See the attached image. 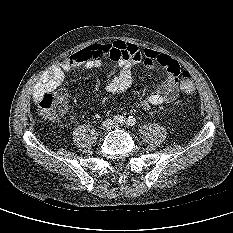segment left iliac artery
Listing matches in <instances>:
<instances>
[{
  "label": "left iliac artery",
  "mask_w": 233,
  "mask_h": 233,
  "mask_svg": "<svg viewBox=\"0 0 233 233\" xmlns=\"http://www.w3.org/2000/svg\"><path fill=\"white\" fill-rule=\"evenodd\" d=\"M126 123H127L128 126H134L136 124L135 117L129 116Z\"/></svg>",
  "instance_id": "left-iliac-artery-1"
}]
</instances>
